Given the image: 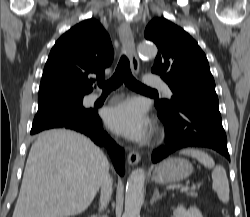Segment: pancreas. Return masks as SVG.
<instances>
[{"instance_id": "pancreas-1", "label": "pancreas", "mask_w": 250, "mask_h": 217, "mask_svg": "<svg viewBox=\"0 0 250 217\" xmlns=\"http://www.w3.org/2000/svg\"><path fill=\"white\" fill-rule=\"evenodd\" d=\"M186 194H187V196H190V197H197L198 196V194L195 190L187 191Z\"/></svg>"}]
</instances>
